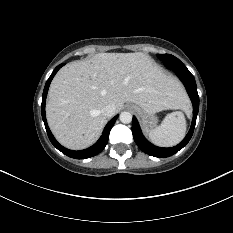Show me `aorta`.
I'll return each instance as SVG.
<instances>
[{"label":"aorta","mask_w":233,"mask_h":233,"mask_svg":"<svg viewBox=\"0 0 233 233\" xmlns=\"http://www.w3.org/2000/svg\"><path fill=\"white\" fill-rule=\"evenodd\" d=\"M120 121L124 124H129L132 122V114L130 112H122L119 116Z\"/></svg>","instance_id":"1"}]
</instances>
